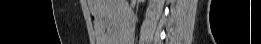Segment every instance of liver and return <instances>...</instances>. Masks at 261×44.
Wrapping results in <instances>:
<instances>
[{
    "mask_svg": "<svg viewBox=\"0 0 261 44\" xmlns=\"http://www.w3.org/2000/svg\"><path fill=\"white\" fill-rule=\"evenodd\" d=\"M92 15L95 17L97 44H127L130 36L126 34L127 25L134 24L129 19L131 9L127 0H88Z\"/></svg>",
    "mask_w": 261,
    "mask_h": 44,
    "instance_id": "1",
    "label": "liver"
}]
</instances>
